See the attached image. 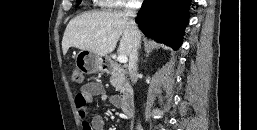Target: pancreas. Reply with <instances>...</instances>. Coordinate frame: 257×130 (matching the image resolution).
Returning a JSON list of instances; mask_svg holds the SVG:
<instances>
[{
  "label": "pancreas",
  "mask_w": 257,
  "mask_h": 130,
  "mask_svg": "<svg viewBox=\"0 0 257 130\" xmlns=\"http://www.w3.org/2000/svg\"><path fill=\"white\" fill-rule=\"evenodd\" d=\"M110 83L115 87L117 91H125V77L118 73H112L110 77Z\"/></svg>",
  "instance_id": "cf45deb5"
}]
</instances>
